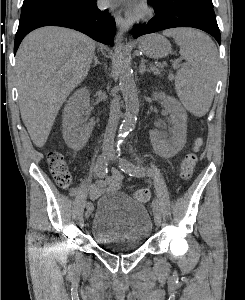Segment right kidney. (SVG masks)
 <instances>
[{"instance_id":"right-kidney-1","label":"right kidney","mask_w":245,"mask_h":300,"mask_svg":"<svg viewBox=\"0 0 245 300\" xmlns=\"http://www.w3.org/2000/svg\"><path fill=\"white\" fill-rule=\"evenodd\" d=\"M90 94L86 88L77 90L67 101L63 112L62 133L66 144L73 150H81L88 141L94 123L87 122Z\"/></svg>"}]
</instances>
